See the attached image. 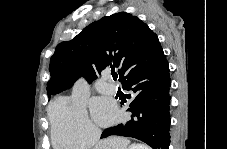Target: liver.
Segmentation results:
<instances>
[{
    "label": "liver",
    "mask_w": 227,
    "mask_h": 149,
    "mask_svg": "<svg viewBox=\"0 0 227 149\" xmlns=\"http://www.w3.org/2000/svg\"><path fill=\"white\" fill-rule=\"evenodd\" d=\"M130 140L123 137H109L95 145L94 149H127ZM147 147V146H146Z\"/></svg>",
    "instance_id": "obj_1"
}]
</instances>
